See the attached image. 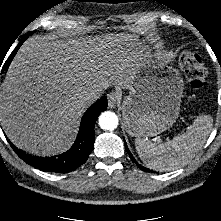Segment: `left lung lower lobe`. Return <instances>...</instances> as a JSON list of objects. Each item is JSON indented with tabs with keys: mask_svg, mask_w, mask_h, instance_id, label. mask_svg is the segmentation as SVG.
Instances as JSON below:
<instances>
[{
	"mask_svg": "<svg viewBox=\"0 0 221 221\" xmlns=\"http://www.w3.org/2000/svg\"><path fill=\"white\" fill-rule=\"evenodd\" d=\"M126 145V144H125ZM126 150L128 151V153L130 154V152H129V150H128V148L126 147ZM131 155V154H130ZM131 158H132V160H133V157L131 156Z\"/></svg>",
	"mask_w": 221,
	"mask_h": 221,
	"instance_id": "obj_1",
	"label": "left lung lower lobe"
}]
</instances>
